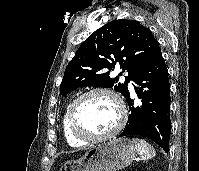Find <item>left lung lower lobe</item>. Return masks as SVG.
I'll use <instances>...</instances> for the list:
<instances>
[{
    "label": "left lung lower lobe",
    "mask_w": 199,
    "mask_h": 171,
    "mask_svg": "<svg viewBox=\"0 0 199 171\" xmlns=\"http://www.w3.org/2000/svg\"><path fill=\"white\" fill-rule=\"evenodd\" d=\"M139 105L127 91L130 114L120 137L140 135L153 140L166 153L169 152L171 134L170 84L168 70L159 45L133 78Z\"/></svg>",
    "instance_id": "1"
}]
</instances>
